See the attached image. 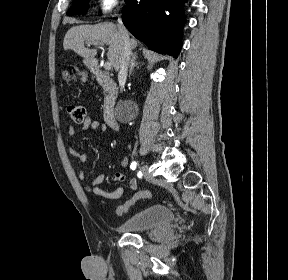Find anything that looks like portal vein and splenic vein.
I'll list each match as a JSON object with an SVG mask.
<instances>
[{
    "mask_svg": "<svg viewBox=\"0 0 288 280\" xmlns=\"http://www.w3.org/2000/svg\"><path fill=\"white\" fill-rule=\"evenodd\" d=\"M90 43L93 44V45H98V46L101 47V48L103 47V44L100 43V42L94 41V42H90ZM104 68H105L106 70H111V68H112L111 63H110V62H106L105 65H104Z\"/></svg>",
    "mask_w": 288,
    "mask_h": 280,
    "instance_id": "portal-vein-and-splenic-vein-1",
    "label": "portal vein and splenic vein"
}]
</instances>
